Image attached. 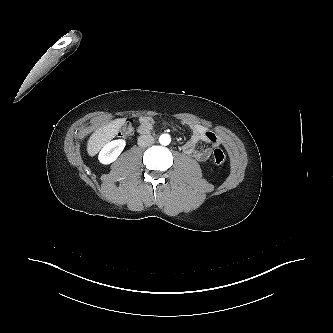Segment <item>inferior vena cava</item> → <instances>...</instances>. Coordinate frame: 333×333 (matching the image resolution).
Listing matches in <instances>:
<instances>
[{
	"label": "inferior vena cava",
	"mask_w": 333,
	"mask_h": 333,
	"mask_svg": "<svg viewBox=\"0 0 333 333\" xmlns=\"http://www.w3.org/2000/svg\"><path fill=\"white\" fill-rule=\"evenodd\" d=\"M155 139L151 135H141L138 138V145L140 147H148L154 143Z\"/></svg>",
	"instance_id": "obj_1"
}]
</instances>
